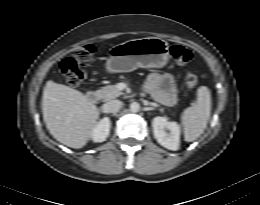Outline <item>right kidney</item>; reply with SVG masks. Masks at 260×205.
I'll return each mask as SVG.
<instances>
[{
  "instance_id": "right-kidney-1",
  "label": "right kidney",
  "mask_w": 260,
  "mask_h": 205,
  "mask_svg": "<svg viewBox=\"0 0 260 205\" xmlns=\"http://www.w3.org/2000/svg\"><path fill=\"white\" fill-rule=\"evenodd\" d=\"M111 121L108 117L101 119L91 133V138L94 142H103L109 136Z\"/></svg>"
}]
</instances>
